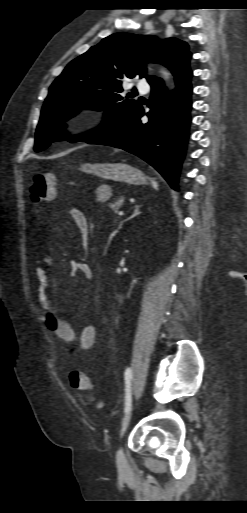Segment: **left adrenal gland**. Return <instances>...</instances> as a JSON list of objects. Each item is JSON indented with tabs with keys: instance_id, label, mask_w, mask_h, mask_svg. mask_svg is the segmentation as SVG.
I'll return each mask as SVG.
<instances>
[{
	"instance_id": "left-adrenal-gland-1",
	"label": "left adrenal gland",
	"mask_w": 247,
	"mask_h": 513,
	"mask_svg": "<svg viewBox=\"0 0 247 513\" xmlns=\"http://www.w3.org/2000/svg\"><path fill=\"white\" fill-rule=\"evenodd\" d=\"M139 209H140V205H135L134 206V211H133L132 215L129 218L121 220L119 222L118 228L113 232L112 236H115V234L122 228V225L124 224V222H126V221H128V220H130V219H132V218H134L136 216H138L139 214H141Z\"/></svg>"
}]
</instances>
